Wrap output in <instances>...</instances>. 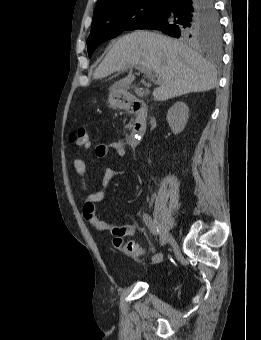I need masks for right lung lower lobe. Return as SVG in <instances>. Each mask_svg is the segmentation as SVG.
<instances>
[{
    "label": "right lung lower lobe",
    "instance_id": "1",
    "mask_svg": "<svg viewBox=\"0 0 261 340\" xmlns=\"http://www.w3.org/2000/svg\"><path fill=\"white\" fill-rule=\"evenodd\" d=\"M214 12V0H163L155 16L139 29L160 30L178 38L190 16L210 15Z\"/></svg>",
    "mask_w": 261,
    "mask_h": 340
}]
</instances>
